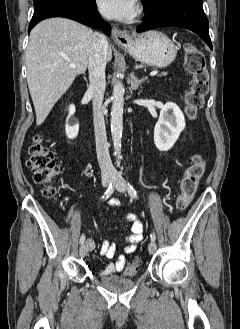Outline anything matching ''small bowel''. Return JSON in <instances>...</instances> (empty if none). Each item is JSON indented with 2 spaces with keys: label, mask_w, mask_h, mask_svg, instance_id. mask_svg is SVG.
Masks as SVG:
<instances>
[{
  "label": "small bowel",
  "mask_w": 240,
  "mask_h": 329,
  "mask_svg": "<svg viewBox=\"0 0 240 329\" xmlns=\"http://www.w3.org/2000/svg\"><path fill=\"white\" fill-rule=\"evenodd\" d=\"M109 204L113 207L121 206V201L113 198L110 200ZM124 220L130 224V234L126 238L127 245L124 248L125 254L133 253L138 244L144 238V225L140 218L134 214L129 213L125 216ZM87 250L93 251L96 248V243L93 239L88 238L86 241ZM116 244L110 243L109 241H104L100 248L99 252L102 256L106 258H114L116 256ZM126 265V257L124 254L118 255L114 262L108 263L100 270L101 276L111 275L113 273L121 272Z\"/></svg>",
  "instance_id": "1"
}]
</instances>
